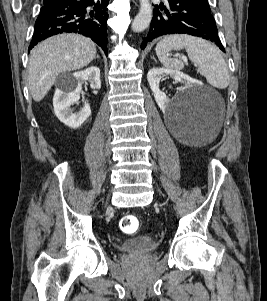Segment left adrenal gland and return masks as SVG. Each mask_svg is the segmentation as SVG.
Returning a JSON list of instances; mask_svg holds the SVG:
<instances>
[{"instance_id": "left-adrenal-gland-1", "label": "left adrenal gland", "mask_w": 267, "mask_h": 301, "mask_svg": "<svg viewBox=\"0 0 267 301\" xmlns=\"http://www.w3.org/2000/svg\"><path fill=\"white\" fill-rule=\"evenodd\" d=\"M152 59H153L155 62H157V60L155 59V57H154V56L152 57Z\"/></svg>"}]
</instances>
